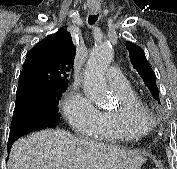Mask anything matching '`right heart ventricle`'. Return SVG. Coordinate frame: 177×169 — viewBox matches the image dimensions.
Here are the masks:
<instances>
[{
    "mask_svg": "<svg viewBox=\"0 0 177 169\" xmlns=\"http://www.w3.org/2000/svg\"><path fill=\"white\" fill-rule=\"evenodd\" d=\"M119 100V108L101 111L97 132L94 138L109 141H137L145 137L150 130L131 122L125 109L142 106L137 93L129 87L122 91H113Z\"/></svg>",
    "mask_w": 177,
    "mask_h": 169,
    "instance_id": "obj_1",
    "label": "right heart ventricle"
}]
</instances>
